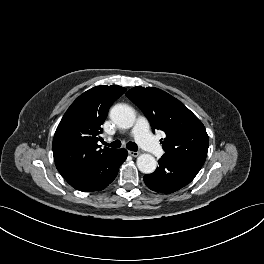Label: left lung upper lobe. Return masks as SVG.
<instances>
[{
    "mask_svg": "<svg viewBox=\"0 0 264 264\" xmlns=\"http://www.w3.org/2000/svg\"><path fill=\"white\" fill-rule=\"evenodd\" d=\"M126 94L147 116L153 131L165 132L160 142L165 154L203 166L209 138L202 122L184 104L153 87H134Z\"/></svg>",
    "mask_w": 264,
    "mask_h": 264,
    "instance_id": "1",
    "label": "left lung upper lobe"
}]
</instances>
